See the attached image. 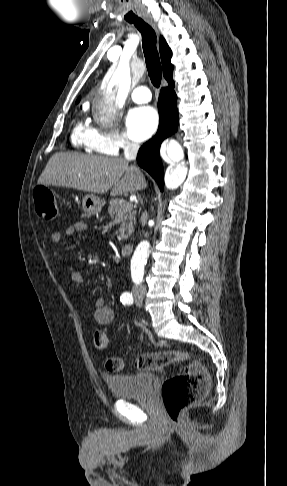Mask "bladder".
<instances>
[{
    "instance_id": "31cf9c89",
    "label": "bladder",
    "mask_w": 287,
    "mask_h": 486,
    "mask_svg": "<svg viewBox=\"0 0 287 486\" xmlns=\"http://www.w3.org/2000/svg\"><path fill=\"white\" fill-rule=\"evenodd\" d=\"M155 375L138 373L126 375H107L105 383L110 391L120 399H128L147 394L153 387Z\"/></svg>"
}]
</instances>
